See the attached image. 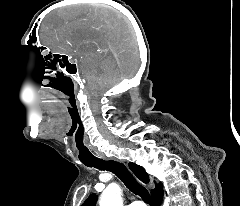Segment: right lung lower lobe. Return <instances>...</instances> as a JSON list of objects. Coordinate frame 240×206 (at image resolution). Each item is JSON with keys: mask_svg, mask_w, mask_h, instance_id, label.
Masks as SVG:
<instances>
[{"mask_svg": "<svg viewBox=\"0 0 240 206\" xmlns=\"http://www.w3.org/2000/svg\"><path fill=\"white\" fill-rule=\"evenodd\" d=\"M162 198H163V193L158 194V195L152 197L154 206H159L161 201H162Z\"/></svg>", "mask_w": 240, "mask_h": 206, "instance_id": "right-lung-lower-lobe-1", "label": "right lung lower lobe"}]
</instances>
